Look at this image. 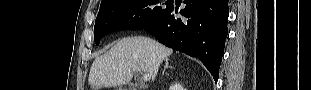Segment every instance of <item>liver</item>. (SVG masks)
I'll return each instance as SVG.
<instances>
[{"instance_id": "liver-1", "label": "liver", "mask_w": 311, "mask_h": 90, "mask_svg": "<svg viewBox=\"0 0 311 90\" xmlns=\"http://www.w3.org/2000/svg\"><path fill=\"white\" fill-rule=\"evenodd\" d=\"M173 50L147 37L121 39L104 55L96 58L89 73L93 90L128 84L134 72L150 74L155 80L159 66Z\"/></svg>"}]
</instances>
